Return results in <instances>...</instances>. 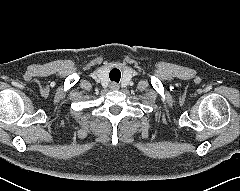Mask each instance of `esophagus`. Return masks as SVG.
Here are the masks:
<instances>
[{"label":"esophagus","instance_id":"obj_1","mask_svg":"<svg viewBox=\"0 0 240 191\" xmlns=\"http://www.w3.org/2000/svg\"><path fill=\"white\" fill-rule=\"evenodd\" d=\"M113 88H117L118 86L117 85H112Z\"/></svg>","mask_w":240,"mask_h":191}]
</instances>
